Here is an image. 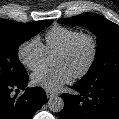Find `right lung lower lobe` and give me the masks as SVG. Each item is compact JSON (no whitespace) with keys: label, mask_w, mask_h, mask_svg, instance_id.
Here are the masks:
<instances>
[{"label":"right lung lower lobe","mask_w":119,"mask_h":119,"mask_svg":"<svg viewBox=\"0 0 119 119\" xmlns=\"http://www.w3.org/2000/svg\"><path fill=\"white\" fill-rule=\"evenodd\" d=\"M27 83L28 75L17 82L0 83V119H31L46 103V94L40 87L27 88L19 97L13 94L14 89H24Z\"/></svg>","instance_id":"obj_1"}]
</instances>
